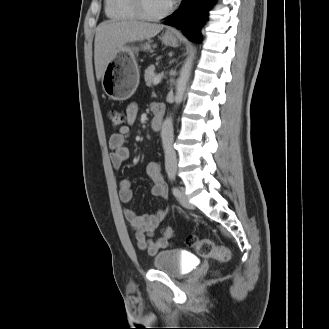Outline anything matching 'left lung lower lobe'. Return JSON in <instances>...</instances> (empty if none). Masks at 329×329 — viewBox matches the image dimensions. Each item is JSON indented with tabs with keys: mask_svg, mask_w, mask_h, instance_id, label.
Instances as JSON below:
<instances>
[{
	"mask_svg": "<svg viewBox=\"0 0 329 329\" xmlns=\"http://www.w3.org/2000/svg\"><path fill=\"white\" fill-rule=\"evenodd\" d=\"M213 3L214 0H184L181 3L182 8L174 12L173 18L165 24L175 26L191 41L199 42L201 25Z\"/></svg>",
	"mask_w": 329,
	"mask_h": 329,
	"instance_id": "0a47b994",
	"label": "left lung lower lobe"
}]
</instances>
